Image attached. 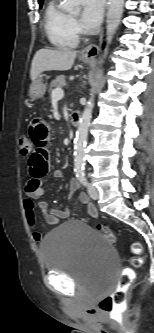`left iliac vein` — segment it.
I'll return each instance as SVG.
<instances>
[{
  "label": "left iliac vein",
  "instance_id": "1",
  "mask_svg": "<svg viewBox=\"0 0 154 333\" xmlns=\"http://www.w3.org/2000/svg\"><path fill=\"white\" fill-rule=\"evenodd\" d=\"M88 194H89V196H90L93 200L98 199L99 192H98V190H97L95 187H93L91 184L88 185Z\"/></svg>",
  "mask_w": 154,
  "mask_h": 333
}]
</instances>
